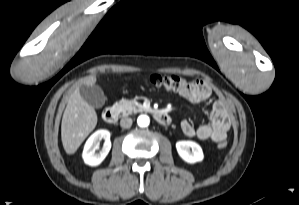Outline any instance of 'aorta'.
Wrapping results in <instances>:
<instances>
[{
	"label": "aorta",
	"instance_id": "obj_1",
	"mask_svg": "<svg viewBox=\"0 0 299 205\" xmlns=\"http://www.w3.org/2000/svg\"><path fill=\"white\" fill-rule=\"evenodd\" d=\"M137 123L140 127H147L150 123V119L147 115H140L137 119Z\"/></svg>",
	"mask_w": 299,
	"mask_h": 205
}]
</instances>
